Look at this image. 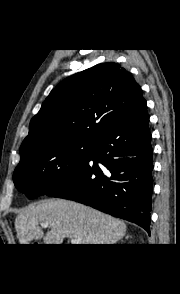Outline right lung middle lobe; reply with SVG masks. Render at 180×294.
I'll return each instance as SVG.
<instances>
[{
    "label": "right lung middle lobe",
    "instance_id": "dd1d6c3e",
    "mask_svg": "<svg viewBox=\"0 0 180 294\" xmlns=\"http://www.w3.org/2000/svg\"><path fill=\"white\" fill-rule=\"evenodd\" d=\"M93 142H69L38 150L15 169L16 188L28 198L48 194L88 160Z\"/></svg>",
    "mask_w": 180,
    "mask_h": 294
}]
</instances>
